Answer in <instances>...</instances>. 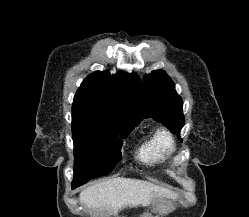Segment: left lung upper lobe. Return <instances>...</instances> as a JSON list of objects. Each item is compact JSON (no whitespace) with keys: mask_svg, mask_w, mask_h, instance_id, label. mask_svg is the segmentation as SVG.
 Segmentation results:
<instances>
[{"mask_svg":"<svg viewBox=\"0 0 249 217\" xmlns=\"http://www.w3.org/2000/svg\"><path fill=\"white\" fill-rule=\"evenodd\" d=\"M144 97L146 117H152L164 124L172 133L184 126L183 102L175 91V85L163 70H156L144 77Z\"/></svg>","mask_w":249,"mask_h":217,"instance_id":"left-lung-upper-lobe-1","label":"left lung upper lobe"}]
</instances>
